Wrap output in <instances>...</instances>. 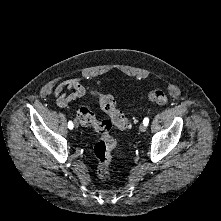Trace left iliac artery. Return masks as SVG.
I'll list each match as a JSON object with an SVG mask.
<instances>
[{"label":"left iliac artery","mask_w":221,"mask_h":221,"mask_svg":"<svg viewBox=\"0 0 221 221\" xmlns=\"http://www.w3.org/2000/svg\"><path fill=\"white\" fill-rule=\"evenodd\" d=\"M148 123H149V118L146 117V118L143 120V124H144L145 126H147Z\"/></svg>","instance_id":"1"}]
</instances>
